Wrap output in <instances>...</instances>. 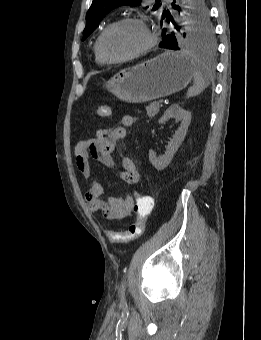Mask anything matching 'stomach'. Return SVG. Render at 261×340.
<instances>
[{
    "label": "stomach",
    "mask_w": 261,
    "mask_h": 340,
    "mask_svg": "<svg viewBox=\"0 0 261 340\" xmlns=\"http://www.w3.org/2000/svg\"><path fill=\"white\" fill-rule=\"evenodd\" d=\"M194 62L182 53L165 52L121 70L106 88L127 103H145L184 89L193 78Z\"/></svg>",
    "instance_id": "0dacf381"
}]
</instances>
